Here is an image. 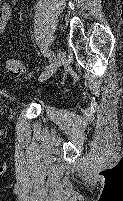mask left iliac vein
<instances>
[{
	"label": "left iliac vein",
	"instance_id": "1",
	"mask_svg": "<svg viewBox=\"0 0 123 201\" xmlns=\"http://www.w3.org/2000/svg\"><path fill=\"white\" fill-rule=\"evenodd\" d=\"M65 60V55L62 51L57 50L55 56L52 58L50 65L46 68V70L42 73L39 80L44 81L48 79L53 73L57 70V68L62 64Z\"/></svg>",
	"mask_w": 123,
	"mask_h": 201
}]
</instances>
